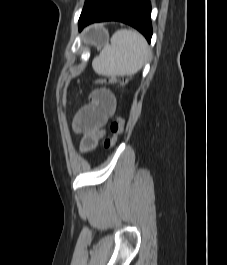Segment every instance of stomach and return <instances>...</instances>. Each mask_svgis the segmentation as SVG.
<instances>
[{
  "label": "stomach",
  "mask_w": 227,
  "mask_h": 265,
  "mask_svg": "<svg viewBox=\"0 0 227 265\" xmlns=\"http://www.w3.org/2000/svg\"><path fill=\"white\" fill-rule=\"evenodd\" d=\"M108 31L100 26L91 29V43L97 47H101L108 43Z\"/></svg>",
  "instance_id": "1"
}]
</instances>
